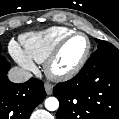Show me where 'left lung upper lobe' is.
Wrapping results in <instances>:
<instances>
[{
    "mask_svg": "<svg viewBox=\"0 0 119 119\" xmlns=\"http://www.w3.org/2000/svg\"><path fill=\"white\" fill-rule=\"evenodd\" d=\"M95 40L98 43L97 50L100 49L102 46H104V45H106L108 43L106 41L99 40V39H95Z\"/></svg>",
    "mask_w": 119,
    "mask_h": 119,
    "instance_id": "obj_1",
    "label": "left lung upper lobe"
}]
</instances>
